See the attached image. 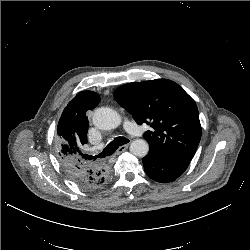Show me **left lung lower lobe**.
<instances>
[{"label":"left lung lower lobe","mask_w":250,"mask_h":250,"mask_svg":"<svg viewBox=\"0 0 250 250\" xmlns=\"http://www.w3.org/2000/svg\"><path fill=\"white\" fill-rule=\"evenodd\" d=\"M142 161L148 177L161 183L174 181L189 165V161L168 159L152 152H149Z\"/></svg>","instance_id":"1"}]
</instances>
